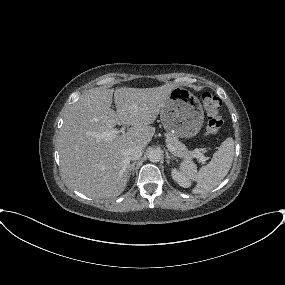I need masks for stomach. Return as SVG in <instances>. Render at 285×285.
Segmentation results:
<instances>
[{
	"instance_id": "obj_1",
	"label": "stomach",
	"mask_w": 285,
	"mask_h": 285,
	"mask_svg": "<svg viewBox=\"0 0 285 285\" xmlns=\"http://www.w3.org/2000/svg\"><path fill=\"white\" fill-rule=\"evenodd\" d=\"M161 122L176 137L191 138L200 131L204 114L199 99L189 90L176 87L160 111Z\"/></svg>"
}]
</instances>
